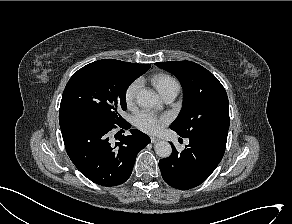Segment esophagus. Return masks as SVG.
I'll return each mask as SVG.
<instances>
[{
    "mask_svg": "<svg viewBox=\"0 0 292 224\" xmlns=\"http://www.w3.org/2000/svg\"><path fill=\"white\" fill-rule=\"evenodd\" d=\"M159 141H161L160 138H158V137H156V136H151V142H152V143H157V142H159Z\"/></svg>",
    "mask_w": 292,
    "mask_h": 224,
    "instance_id": "34e87169",
    "label": "esophagus"
}]
</instances>
